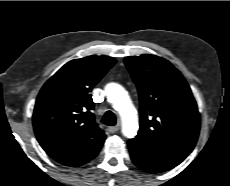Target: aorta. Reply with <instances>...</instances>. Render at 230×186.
Here are the masks:
<instances>
[{
    "label": "aorta",
    "mask_w": 230,
    "mask_h": 186,
    "mask_svg": "<svg viewBox=\"0 0 230 186\" xmlns=\"http://www.w3.org/2000/svg\"><path fill=\"white\" fill-rule=\"evenodd\" d=\"M108 101L119 113L122 120V134L133 138L139 128L136 110L127 91L117 83H109L105 87Z\"/></svg>",
    "instance_id": "aorta-1"
}]
</instances>
